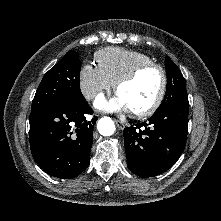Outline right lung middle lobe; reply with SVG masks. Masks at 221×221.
Returning <instances> with one entry per match:
<instances>
[{
	"mask_svg": "<svg viewBox=\"0 0 221 221\" xmlns=\"http://www.w3.org/2000/svg\"><path fill=\"white\" fill-rule=\"evenodd\" d=\"M80 68L78 53L67 52L63 59L44 75L33 99L30 118L58 102L84 101L79 86Z\"/></svg>",
	"mask_w": 221,
	"mask_h": 221,
	"instance_id": "right-lung-middle-lobe-1",
	"label": "right lung middle lobe"
}]
</instances>
